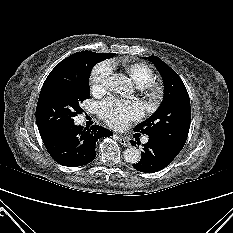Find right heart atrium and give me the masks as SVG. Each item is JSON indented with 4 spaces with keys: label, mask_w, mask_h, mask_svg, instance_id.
<instances>
[{
    "label": "right heart atrium",
    "mask_w": 233,
    "mask_h": 233,
    "mask_svg": "<svg viewBox=\"0 0 233 233\" xmlns=\"http://www.w3.org/2000/svg\"><path fill=\"white\" fill-rule=\"evenodd\" d=\"M114 72V66L110 61L98 63L91 72L92 91L95 94L104 93L108 87Z\"/></svg>",
    "instance_id": "1"
}]
</instances>
